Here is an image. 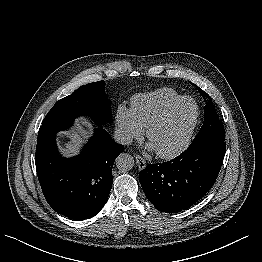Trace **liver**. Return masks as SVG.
I'll list each match as a JSON object with an SVG mask.
<instances>
[{
  "label": "liver",
  "mask_w": 262,
  "mask_h": 262,
  "mask_svg": "<svg viewBox=\"0 0 262 262\" xmlns=\"http://www.w3.org/2000/svg\"><path fill=\"white\" fill-rule=\"evenodd\" d=\"M82 142L83 141L80 137L74 136L68 142L64 143L63 147L61 148V152L66 157L75 156L79 153Z\"/></svg>",
  "instance_id": "obj_1"
}]
</instances>
